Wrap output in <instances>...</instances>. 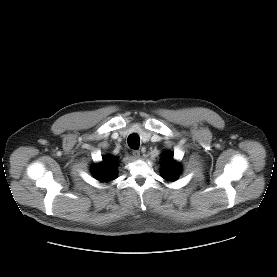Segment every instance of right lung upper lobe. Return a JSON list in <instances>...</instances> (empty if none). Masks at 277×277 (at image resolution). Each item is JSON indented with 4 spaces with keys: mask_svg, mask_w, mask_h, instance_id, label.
Segmentation results:
<instances>
[{
    "mask_svg": "<svg viewBox=\"0 0 277 277\" xmlns=\"http://www.w3.org/2000/svg\"><path fill=\"white\" fill-rule=\"evenodd\" d=\"M117 159L106 156L103 161L92 168L93 175L102 182H109L116 178Z\"/></svg>",
    "mask_w": 277,
    "mask_h": 277,
    "instance_id": "right-lung-upper-lobe-1",
    "label": "right lung upper lobe"
}]
</instances>
